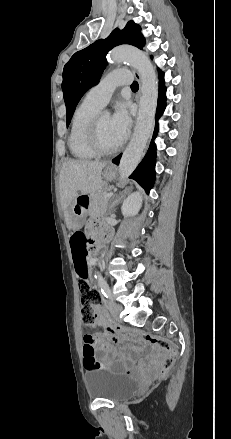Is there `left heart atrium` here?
Here are the masks:
<instances>
[{
  "instance_id": "obj_1",
  "label": "left heart atrium",
  "mask_w": 231,
  "mask_h": 439,
  "mask_svg": "<svg viewBox=\"0 0 231 439\" xmlns=\"http://www.w3.org/2000/svg\"><path fill=\"white\" fill-rule=\"evenodd\" d=\"M111 128L118 145L122 144L131 128V118L124 104L118 105L111 116Z\"/></svg>"
}]
</instances>
